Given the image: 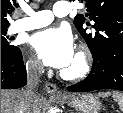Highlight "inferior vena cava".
<instances>
[{
	"instance_id": "1",
	"label": "inferior vena cava",
	"mask_w": 123,
	"mask_h": 113,
	"mask_svg": "<svg viewBox=\"0 0 123 113\" xmlns=\"http://www.w3.org/2000/svg\"><path fill=\"white\" fill-rule=\"evenodd\" d=\"M43 72V66L37 62L29 63L27 66V86L23 91L24 106L23 113H35L33 107L37 98L34 90L38 85L39 78Z\"/></svg>"
}]
</instances>
